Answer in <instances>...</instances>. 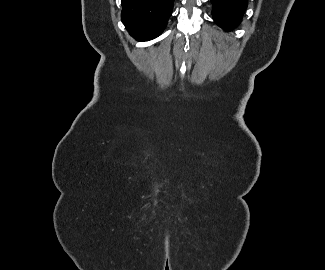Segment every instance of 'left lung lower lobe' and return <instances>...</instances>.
Here are the masks:
<instances>
[{
	"instance_id": "0a47b994",
	"label": "left lung lower lobe",
	"mask_w": 325,
	"mask_h": 270,
	"mask_svg": "<svg viewBox=\"0 0 325 270\" xmlns=\"http://www.w3.org/2000/svg\"><path fill=\"white\" fill-rule=\"evenodd\" d=\"M213 19L225 30L236 27L248 5V0H211Z\"/></svg>"
}]
</instances>
